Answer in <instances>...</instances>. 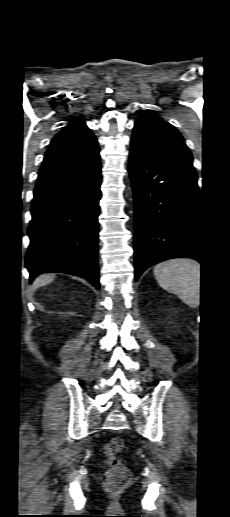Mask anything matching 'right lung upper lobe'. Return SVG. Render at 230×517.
I'll list each match as a JSON object with an SVG mask.
<instances>
[{"label": "right lung upper lobe", "mask_w": 230, "mask_h": 517, "mask_svg": "<svg viewBox=\"0 0 230 517\" xmlns=\"http://www.w3.org/2000/svg\"><path fill=\"white\" fill-rule=\"evenodd\" d=\"M100 164L98 142L82 120H74L51 141L36 186L77 177Z\"/></svg>", "instance_id": "cb5924a9"}]
</instances>
